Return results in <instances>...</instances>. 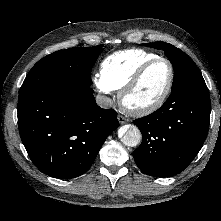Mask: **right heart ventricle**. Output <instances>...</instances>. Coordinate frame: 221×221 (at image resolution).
Listing matches in <instances>:
<instances>
[{"instance_id": "obj_1", "label": "right heart ventricle", "mask_w": 221, "mask_h": 221, "mask_svg": "<svg viewBox=\"0 0 221 221\" xmlns=\"http://www.w3.org/2000/svg\"><path fill=\"white\" fill-rule=\"evenodd\" d=\"M156 57L155 53L141 49L118 51L101 62L100 75L112 90H121L144 63Z\"/></svg>"}]
</instances>
